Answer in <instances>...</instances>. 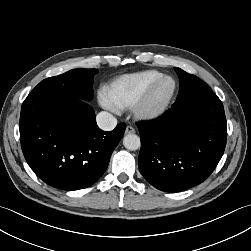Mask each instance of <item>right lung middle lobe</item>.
Segmentation results:
<instances>
[{
    "mask_svg": "<svg viewBox=\"0 0 251 251\" xmlns=\"http://www.w3.org/2000/svg\"><path fill=\"white\" fill-rule=\"evenodd\" d=\"M97 72L96 69H73L41 81L31 93L90 100L93 96V78Z\"/></svg>",
    "mask_w": 251,
    "mask_h": 251,
    "instance_id": "dd1d6c3e",
    "label": "right lung middle lobe"
}]
</instances>
